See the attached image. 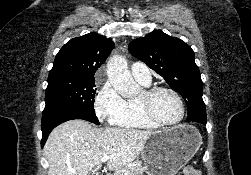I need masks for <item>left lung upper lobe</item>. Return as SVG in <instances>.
<instances>
[{"instance_id": "obj_1", "label": "left lung upper lobe", "mask_w": 251, "mask_h": 175, "mask_svg": "<svg viewBox=\"0 0 251 175\" xmlns=\"http://www.w3.org/2000/svg\"><path fill=\"white\" fill-rule=\"evenodd\" d=\"M128 49L160 74L172 89L183 96L187 105H205L202 99L203 82L194 51L183 40L156 30L131 41Z\"/></svg>"}]
</instances>
